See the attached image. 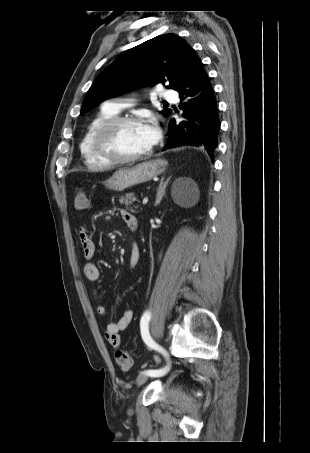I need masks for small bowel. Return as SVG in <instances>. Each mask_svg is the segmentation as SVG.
I'll return each instance as SVG.
<instances>
[{
	"label": "small bowel",
	"mask_w": 310,
	"mask_h": 453,
	"mask_svg": "<svg viewBox=\"0 0 310 453\" xmlns=\"http://www.w3.org/2000/svg\"><path fill=\"white\" fill-rule=\"evenodd\" d=\"M122 218L129 229H135L138 225L137 218L130 212L122 210ZM79 241L81 244L82 254L86 263L84 264L83 272L84 276L88 281L97 282L100 279V270L99 268L92 263V259L95 254V244L90 237L88 231L81 227L79 230ZM141 251L139 246L134 243L131 246L130 251V266L131 268L135 267L140 260ZM96 299V312L105 317L107 315V310L104 305L100 302L98 293L95 292ZM134 317V312L131 309L126 310L122 316L116 320L109 322L105 329V338L113 348H119L121 340L119 333L124 331L129 324L132 322Z\"/></svg>",
	"instance_id": "1"
}]
</instances>
